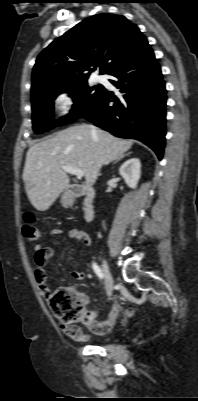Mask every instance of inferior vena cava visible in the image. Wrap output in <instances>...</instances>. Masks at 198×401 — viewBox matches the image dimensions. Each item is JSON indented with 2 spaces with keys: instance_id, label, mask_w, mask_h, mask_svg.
Returning a JSON list of instances; mask_svg holds the SVG:
<instances>
[{
  "instance_id": "inferior-vena-cava-1",
  "label": "inferior vena cava",
  "mask_w": 198,
  "mask_h": 401,
  "mask_svg": "<svg viewBox=\"0 0 198 401\" xmlns=\"http://www.w3.org/2000/svg\"><path fill=\"white\" fill-rule=\"evenodd\" d=\"M91 132L93 133V134H95V132H96V130H95V128L92 126L91 127Z\"/></svg>"
}]
</instances>
